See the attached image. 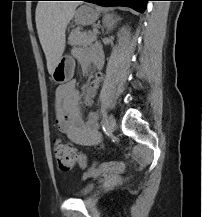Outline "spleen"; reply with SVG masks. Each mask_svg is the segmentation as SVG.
I'll return each mask as SVG.
<instances>
[{
    "instance_id": "1",
    "label": "spleen",
    "mask_w": 202,
    "mask_h": 217,
    "mask_svg": "<svg viewBox=\"0 0 202 217\" xmlns=\"http://www.w3.org/2000/svg\"><path fill=\"white\" fill-rule=\"evenodd\" d=\"M111 19H112V17L110 15H105L104 19H103V23H107L108 24Z\"/></svg>"
}]
</instances>
